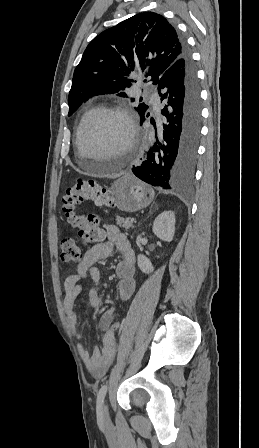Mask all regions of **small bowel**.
Masks as SVG:
<instances>
[{"label": "small bowel", "instance_id": "obj_1", "mask_svg": "<svg viewBox=\"0 0 259 448\" xmlns=\"http://www.w3.org/2000/svg\"><path fill=\"white\" fill-rule=\"evenodd\" d=\"M104 232L107 240L99 242L88 249L79 262L76 273L68 276L64 281L66 295L63 301V308L68 326L78 339H81V334L78 329L75 302L82 291V281L90 280L92 282L88 294L90 305L94 308H100L103 304L100 296V272L95 266L99 260L108 258L113 249L116 248L121 256L115 267L119 298L121 300L129 299L136 287L134 279L135 254L130 241L113 225H105ZM113 312V309L105 311L100 319V328L104 332L101 349L94 348L90 351L82 344L78 346L79 354L87 370L95 378H101L106 373L116 354V332L119 328L113 324Z\"/></svg>", "mask_w": 259, "mask_h": 448}]
</instances>
